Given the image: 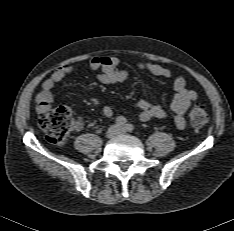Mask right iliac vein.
Returning <instances> with one entry per match:
<instances>
[{
	"mask_svg": "<svg viewBox=\"0 0 234 231\" xmlns=\"http://www.w3.org/2000/svg\"><path fill=\"white\" fill-rule=\"evenodd\" d=\"M120 133V129L117 125H113L111 126L108 131H107V137L108 138H114L115 136H117Z\"/></svg>",
	"mask_w": 234,
	"mask_h": 231,
	"instance_id": "obj_1",
	"label": "right iliac vein"
}]
</instances>
